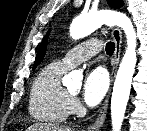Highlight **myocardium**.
Returning <instances> with one entry per match:
<instances>
[{
	"label": "myocardium",
	"mask_w": 147,
	"mask_h": 131,
	"mask_svg": "<svg viewBox=\"0 0 147 131\" xmlns=\"http://www.w3.org/2000/svg\"><path fill=\"white\" fill-rule=\"evenodd\" d=\"M68 92V91H67ZM68 94L70 95V96H73L74 95V93H72V92H68Z\"/></svg>",
	"instance_id": "f54148a6"
}]
</instances>
